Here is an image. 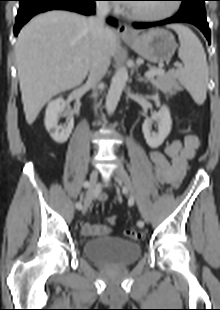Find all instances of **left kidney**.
I'll use <instances>...</instances> for the list:
<instances>
[{
    "instance_id": "1",
    "label": "left kidney",
    "mask_w": 220,
    "mask_h": 310,
    "mask_svg": "<svg viewBox=\"0 0 220 310\" xmlns=\"http://www.w3.org/2000/svg\"><path fill=\"white\" fill-rule=\"evenodd\" d=\"M158 124V132L152 131V122ZM172 119L170 111L166 105L161 106L157 113H154L151 118L146 119L142 125V131L147 144L151 148H158L167 138L171 131Z\"/></svg>"
}]
</instances>
